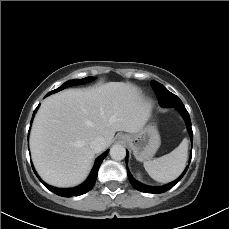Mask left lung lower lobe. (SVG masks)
Returning a JSON list of instances; mask_svg holds the SVG:
<instances>
[{"label":"left lung lower lobe","mask_w":229,"mask_h":229,"mask_svg":"<svg viewBox=\"0 0 229 229\" xmlns=\"http://www.w3.org/2000/svg\"><path fill=\"white\" fill-rule=\"evenodd\" d=\"M176 108L181 113L183 118L185 119L186 124H187V130H188V132L190 134L191 141H193V132H192V128H191V120H190V116H189L185 106L183 104H181V105L176 106ZM127 159H128V152L126 154V163H127ZM190 160H191V158H190ZM188 167L189 166L186 167V169L184 170L182 175L179 178H177L175 181H173L171 183H168V184H166L164 186H161V187H151V186H147V185H144V184L138 182L137 180H135L133 178V176L129 172L128 168H127V173H128L129 181H130V183L133 185V187L135 189H137L139 191H142V192H145V193H154V194H156V193H163V192H166L169 189H171L176 183H178L182 179V177L186 173Z\"/></svg>","instance_id":"left-lung-lower-lobe-1"}]
</instances>
